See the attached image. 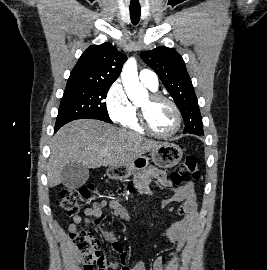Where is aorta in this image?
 <instances>
[{
	"label": "aorta",
	"instance_id": "aorta-1",
	"mask_svg": "<svg viewBox=\"0 0 267 270\" xmlns=\"http://www.w3.org/2000/svg\"><path fill=\"white\" fill-rule=\"evenodd\" d=\"M121 79L130 100L137 101L147 94L145 87L139 81L137 64L134 58H129L124 64Z\"/></svg>",
	"mask_w": 267,
	"mask_h": 270
}]
</instances>
